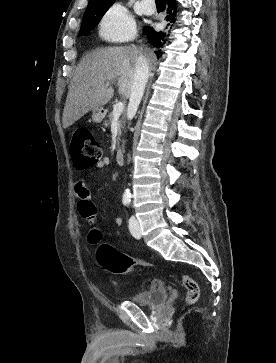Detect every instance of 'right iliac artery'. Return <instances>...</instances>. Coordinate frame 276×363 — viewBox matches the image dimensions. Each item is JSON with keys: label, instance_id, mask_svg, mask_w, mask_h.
I'll list each match as a JSON object with an SVG mask.
<instances>
[{"label": "right iliac artery", "instance_id": "82829eb1", "mask_svg": "<svg viewBox=\"0 0 276 363\" xmlns=\"http://www.w3.org/2000/svg\"><path fill=\"white\" fill-rule=\"evenodd\" d=\"M130 201L129 200H124L123 203L124 205H127Z\"/></svg>", "mask_w": 276, "mask_h": 363}]
</instances>
